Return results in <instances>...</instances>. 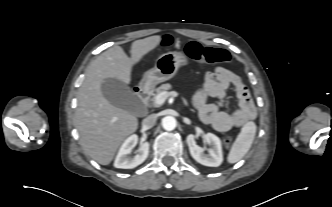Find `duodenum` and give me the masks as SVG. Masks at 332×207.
I'll use <instances>...</instances> for the list:
<instances>
[{"mask_svg": "<svg viewBox=\"0 0 332 207\" xmlns=\"http://www.w3.org/2000/svg\"><path fill=\"white\" fill-rule=\"evenodd\" d=\"M150 95V90L146 86H141L136 89V96L140 100V102L144 105V113L147 112L146 104L148 102Z\"/></svg>", "mask_w": 332, "mask_h": 207, "instance_id": "obj_1", "label": "duodenum"}]
</instances>
